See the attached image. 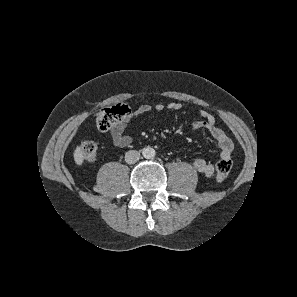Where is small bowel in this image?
I'll return each instance as SVG.
<instances>
[{"mask_svg":"<svg viewBox=\"0 0 297 297\" xmlns=\"http://www.w3.org/2000/svg\"><path fill=\"white\" fill-rule=\"evenodd\" d=\"M181 108L182 105L179 102H170L166 105L157 104L154 107L157 112H161L165 109L178 111ZM151 110L152 108L149 105H141L136 110L130 112L125 118L114 124L110 129V136L113 144L120 148L129 146L132 143V138L126 133L127 124L132 118L147 114ZM199 115L201 119L192 123V129L208 131L218 144L221 159H230L233 150L232 140L216 125L215 117L210 112L200 110ZM193 165L198 172L206 177H211L214 174V165L204 158H196Z\"/></svg>","mask_w":297,"mask_h":297,"instance_id":"obj_1","label":"small bowel"}]
</instances>
